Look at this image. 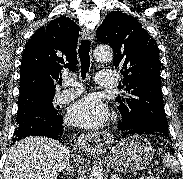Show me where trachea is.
Wrapping results in <instances>:
<instances>
[{
	"instance_id": "obj_1",
	"label": "trachea",
	"mask_w": 183,
	"mask_h": 179,
	"mask_svg": "<svg viewBox=\"0 0 183 179\" xmlns=\"http://www.w3.org/2000/svg\"><path fill=\"white\" fill-rule=\"evenodd\" d=\"M90 41L88 39L82 40L79 46L78 54L81 63V78L85 79L90 67ZM61 83V82H60Z\"/></svg>"
}]
</instances>
